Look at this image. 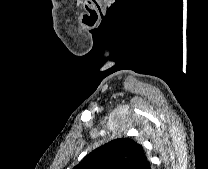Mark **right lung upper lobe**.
<instances>
[{"label":"right lung upper lobe","mask_w":208,"mask_h":169,"mask_svg":"<svg viewBox=\"0 0 208 169\" xmlns=\"http://www.w3.org/2000/svg\"><path fill=\"white\" fill-rule=\"evenodd\" d=\"M73 169H151L143 147L130 138L112 140L89 154Z\"/></svg>","instance_id":"1"}]
</instances>
